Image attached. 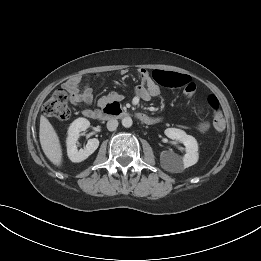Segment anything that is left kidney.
Here are the masks:
<instances>
[{
    "label": "left kidney",
    "mask_w": 261,
    "mask_h": 261,
    "mask_svg": "<svg viewBox=\"0 0 261 261\" xmlns=\"http://www.w3.org/2000/svg\"><path fill=\"white\" fill-rule=\"evenodd\" d=\"M164 133L168 138L183 143L186 150L183 158L171 152H161L160 161L164 169L180 172L198 161V144L193 136L187 135L183 130L177 128H167Z\"/></svg>",
    "instance_id": "left-kidney-1"
}]
</instances>
